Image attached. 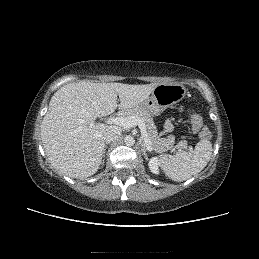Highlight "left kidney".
<instances>
[{"label": "left kidney", "instance_id": "obj_1", "mask_svg": "<svg viewBox=\"0 0 259 259\" xmlns=\"http://www.w3.org/2000/svg\"><path fill=\"white\" fill-rule=\"evenodd\" d=\"M159 158L158 157H152L148 163L149 169L154 174H159Z\"/></svg>", "mask_w": 259, "mask_h": 259}]
</instances>
